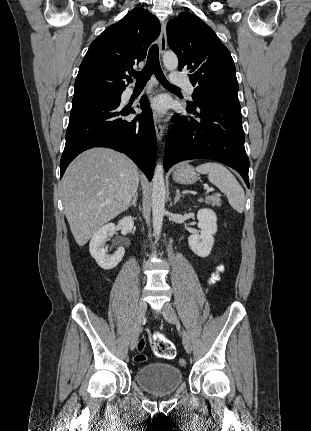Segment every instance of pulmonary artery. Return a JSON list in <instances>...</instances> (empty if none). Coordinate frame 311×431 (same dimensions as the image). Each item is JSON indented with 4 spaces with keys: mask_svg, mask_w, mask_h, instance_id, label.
<instances>
[{
    "mask_svg": "<svg viewBox=\"0 0 311 431\" xmlns=\"http://www.w3.org/2000/svg\"><path fill=\"white\" fill-rule=\"evenodd\" d=\"M171 80L175 83L178 84L180 86H182L188 94L192 95L194 93V87L192 85V83L190 81H180V80H176L171 78ZM133 91L132 88L128 89V92L131 93Z\"/></svg>",
    "mask_w": 311,
    "mask_h": 431,
    "instance_id": "e3ab8cb5",
    "label": "pulmonary artery"
}]
</instances>
